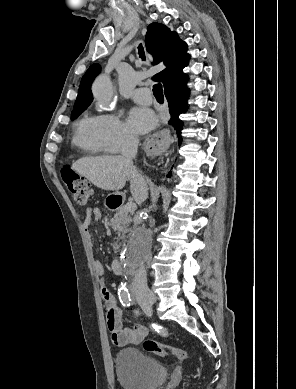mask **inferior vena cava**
Masks as SVG:
<instances>
[{
	"mask_svg": "<svg viewBox=\"0 0 296 389\" xmlns=\"http://www.w3.org/2000/svg\"><path fill=\"white\" fill-rule=\"evenodd\" d=\"M139 139L137 135L128 133L125 136V140L122 146V155L132 164V174H138L137 169L133 166L132 159L137 155ZM139 222L141 219L139 218ZM133 293L139 303H143L146 300H153V293L149 290L147 285L146 270L144 266L138 270L133 283Z\"/></svg>",
	"mask_w": 296,
	"mask_h": 389,
	"instance_id": "inferior-vena-cava-1",
	"label": "inferior vena cava"
}]
</instances>
